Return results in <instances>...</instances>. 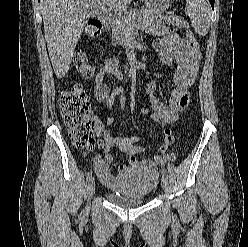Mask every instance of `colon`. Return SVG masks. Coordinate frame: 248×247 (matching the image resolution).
<instances>
[{"mask_svg": "<svg viewBox=\"0 0 248 247\" xmlns=\"http://www.w3.org/2000/svg\"><path fill=\"white\" fill-rule=\"evenodd\" d=\"M101 27L93 19L85 27V35L95 38L100 34ZM189 40H194L192 31L186 32ZM73 63L76 71L85 78L95 74V67L88 61L87 55L79 50L74 54ZM59 105L64 124L72 143L82 149H90L94 145V121L90 109L89 96L83 87L75 84L70 90L63 91L59 97ZM158 122L157 128L162 127Z\"/></svg>", "mask_w": 248, "mask_h": 247, "instance_id": "obj_1", "label": "colon"}]
</instances>
